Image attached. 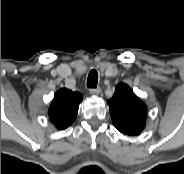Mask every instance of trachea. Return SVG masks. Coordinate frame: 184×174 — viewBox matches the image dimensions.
<instances>
[{"label":"trachea","mask_w":184,"mask_h":174,"mask_svg":"<svg viewBox=\"0 0 184 174\" xmlns=\"http://www.w3.org/2000/svg\"><path fill=\"white\" fill-rule=\"evenodd\" d=\"M98 82V73L95 69L91 70L87 78V87L96 88Z\"/></svg>","instance_id":"3493384b"}]
</instances>
